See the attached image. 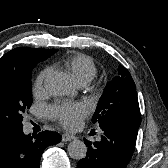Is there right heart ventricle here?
Listing matches in <instances>:
<instances>
[{"label": "right heart ventricle", "mask_w": 168, "mask_h": 168, "mask_svg": "<svg viewBox=\"0 0 168 168\" xmlns=\"http://www.w3.org/2000/svg\"><path fill=\"white\" fill-rule=\"evenodd\" d=\"M63 65L78 84L90 82L97 73L93 59L85 54L69 55L63 60Z\"/></svg>", "instance_id": "1"}]
</instances>
